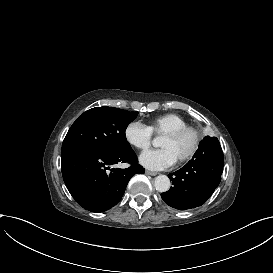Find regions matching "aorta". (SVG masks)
Listing matches in <instances>:
<instances>
[{
    "label": "aorta",
    "instance_id": "1",
    "mask_svg": "<svg viewBox=\"0 0 273 273\" xmlns=\"http://www.w3.org/2000/svg\"><path fill=\"white\" fill-rule=\"evenodd\" d=\"M153 145L157 146V139L153 140ZM170 186V179L166 175H158L154 180V187L158 192H167Z\"/></svg>",
    "mask_w": 273,
    "mask_h": 273
}]
</instances>
